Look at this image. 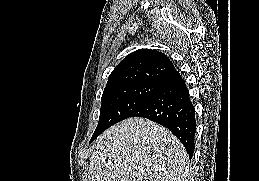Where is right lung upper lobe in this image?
Masks as SVG:
<instances>
[{"instance_id":"obj_1","label":"right lung upper lobe","mask_w":259,"mask_h":181,"mask_svg":"<svg viewBox=\"0 0 259 181\" xmlns=\"http://www.w3.org/2000/svg\"><path fill=\"white\" fill-rule=\"evenodd\" d=\"M176 71L173 63L162 52L139 49L126 56L109 75L104 90L132 84H160Z\"/></svg>"}]
</instances>
